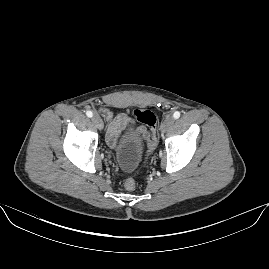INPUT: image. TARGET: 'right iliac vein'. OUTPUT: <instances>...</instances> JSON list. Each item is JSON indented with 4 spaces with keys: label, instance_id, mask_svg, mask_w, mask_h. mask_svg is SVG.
Wrapping results in <instances>:
<instances>
[{
    "label": "right iliac vein",
    "instance_id": "63e3f726",
    "mask_svg": "<svg viewBox=\"0 0 269 269\" xmlns=\"http://www.w3.org/2000/svg\"><path fill=\"white\" fill-rule=\"evenodd\" d=\"M92 122H93L94 125H96V127H97L98 129H102V128H103V121H102V119L99 117V115H94V116L92 117Z\"/></svg>",
    "mask_w": 269,
    "mask_h": 269
}]
</instances>
